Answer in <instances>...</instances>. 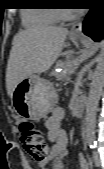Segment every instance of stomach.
<instances>
[{"label": "stomach", "mask_w": 104, "mask_h": 169, "mask_svg": "<svg viewBox=\"0 0 104 169\" xmlns=\"http://www.w3.org/2000/svg\"><path fill=\"white\" fill-rule=\"evenodd\" d=\"M71 40L76 37L70 36ZM11 102L17 115L24 120L45 118L56 104L54 85L39 75L24 78L15 87Z\"/></svg>", "instance_id": "1"}]
</instances>
